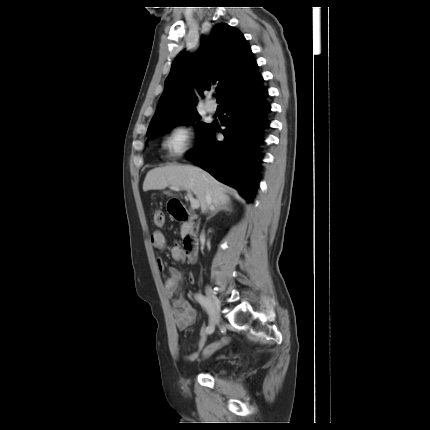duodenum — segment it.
Segmentation results:
<instances>
[{"label": "duodenum", "instance_id": "obj_1", "mask_svg": "<svg viewBox=\"0 0 430 430\" xmlns=\"http://www.w3.org/2000/svg\"><path fill=\"white\" fill-rule=\"evenodd\" d=\"M171 213L173 217L180 222L190 223L192 215L187 208L181 203H175ZM199 243L192 231H188L183 239V250L185 256L190 262H194L198 255Z\"/></svg>", "mask_w": 430, "mask_h": 430}]
</instances>
